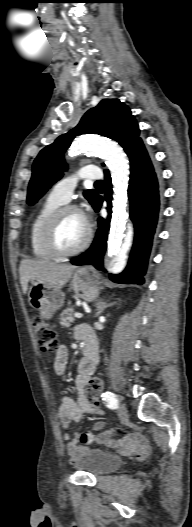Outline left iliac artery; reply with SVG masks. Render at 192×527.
I'll return each instance as SVG.
<instances>
[{"label":"left iliac artery","mask_w":192,"mask_h":527,"mask_svg":"<svg viewBox=\"0 0 192 527\" xmlns=\"http://www.w3.org/2000/svg\"><path fill=\"white\" fill-rule=\"evenodd\" d=\"M103 400L106 401L107 403V407H109L110 409H116L118 407V399H117V396L112 393V392H109V391H106L103 395Z\"/></svg>","instance_id":"obj_1"}]
</instances>
